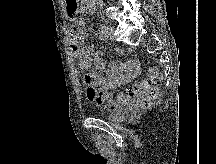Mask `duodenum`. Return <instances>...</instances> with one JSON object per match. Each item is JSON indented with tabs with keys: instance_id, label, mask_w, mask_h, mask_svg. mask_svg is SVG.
<instances>
[{
	"instance_id": "obj_1",
	"label": "duodenum",
	"mask_w": 216,
	"mask_h": 164,
	"mask_svg": "<svg viewBox=\"0 0 216 164\" xmlns=\"http://www.w3.org/2000/svg\"><path fill=\"white\" fill-rule=\"evenodd\" d=\"M86 1V5L88 6V7H90L91 6V4H89V3H91V0H85Z\"/></svg>"
}]
</instances>
